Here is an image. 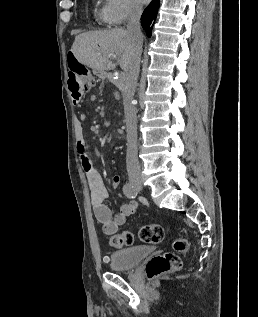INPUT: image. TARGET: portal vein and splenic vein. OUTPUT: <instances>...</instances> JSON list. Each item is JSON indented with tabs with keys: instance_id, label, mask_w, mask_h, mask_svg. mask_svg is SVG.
Listing matches in <instances>:
<instances>
[{
	"instance_id": "1",
	"label": "portal vein and splenic vein",
	"mask_w": 258,
	"mask_h": 317,
	"mask_svg": "<svg viewBox=\"0 0 258 317\" xmlns=\"http://www.w3.org/2000/svg\"><path fill=\"white\" fill-rule=\"evenodd\" d=\"M117 54H112V58H116Z\"/></svg>"
}]
</instances>
